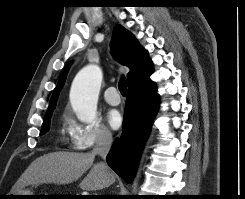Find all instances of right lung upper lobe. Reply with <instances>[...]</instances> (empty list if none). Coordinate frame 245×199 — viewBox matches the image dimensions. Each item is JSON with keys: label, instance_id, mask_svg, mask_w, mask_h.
Instances as JSON below:
<instances>
[{"label": "right lung upper lobe", "instance_id": "cb5924a9", "mask_svg": "<svg viewBox=\"0 0 245 199\" xmlns=\"http://www.w3.org/2000/svg\"><path fill=\"white\" fill-rule=\"evenodd\" d=\"M112 51L122 65L131 70L127 75L128 88H143L153 83L150 79L152 63L136 38L122 25L117 24L113 32ZM70 62L61 72L58 84L53 91L45 116L52 114L61 89L64 86Z\"/></svg>", "mask_w": 245, "mask_h": 199}]
</instances>
